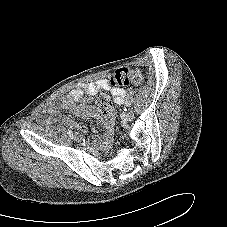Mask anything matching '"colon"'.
Returning a JSON list of instances; mask_svg holds the SVG:
<instances>
[{
	"label": "colon",
	"instance_id": "1",
	"mask_svg": "<svg viewBox=\"0 0 227 227\" xmlns=\"http://www.w3.org/2000/svg\"><path fill=\"white\" fill-rule=\"evenodd\" d=\"M109 81L112 87L120 89L122 86L141 84L143 75L138 69L121 68L110 74ZM96 105L101 113H107L112 106L111 99L107 94H101L97 98Z\"/></svg>",
	"mask_w": 227,
	"mask_h": 227
}]
</instances>
